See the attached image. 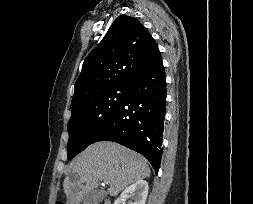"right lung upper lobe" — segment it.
I'll return each mask as SVG.
<instances>
[{
  "label": "right lung upper lobe",
  "instance_id": "obj_1",
  "mask_svg": "<svg viewBox=\"0 0 253 204\" xmlns=\"http://www.w3.org/2000/svg\"><path fill=\"white\" fill-rule=\"evenodd\" d=\"M158 51L156 42L137 19L119 16L84 60L71 106L108 88L129 85Z\"/></svg>",
  "mask_w": 253,
  "mask_h": 204
}]
</instances>
